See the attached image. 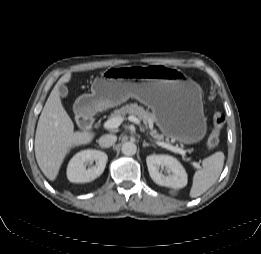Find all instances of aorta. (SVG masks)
<instances>
[{
	"label": "aorta",
	"instance_id": "1",
	"mask_svg": "<svg viewBox=\"0 0 261 254\" xmlns=\"http://www.w3.org/2000/svg\"><path fill=\"white\" fill-rule=\"evenodd\" d=\"M121 151L126 156H133L136 154L137 146L133 142H125L122 145Z\"/></svg>",
	"mask_w": 261,
	"mask_h": 254
}]
</instances>
